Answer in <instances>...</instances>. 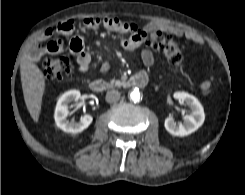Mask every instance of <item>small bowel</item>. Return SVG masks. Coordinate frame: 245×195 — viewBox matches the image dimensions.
I'll return each instance as SVG.
<instances>
[{
	"mask_svg": "<svg viewBox=\"0 0 245 195\" xmlns=\"http://www.w3.org/2000/svg\"><path fill=\"white\" fill-rule=\"evenodd\" d=\"M84 27L91 31L105 29L119 35L121 37V44L123 47L130 51H136L141 48L145 42L156 39L157 34L161 31L185 37L187 40L198 45H203L205 43L204 38L196 31L158 22H150L144 27L138 28L135 24L116 17H102L88 18L84 20ZM73 31L74 25L71 21L61 22L57 26V32L61 35H70ZM52 34V29H46L39 39L32 44L30 48V57L33 60L40 59L46 53L57 54L62 51L64 42L61 39H53L45 44V41L49 40L52 37ZM69 49L77 57L80 72L88 74L90 64L96 55L85 50L82 38L77 35L73 36L70 40ZM140 54L147 67H152L156 64V56L150 49L144 47L141 49ZM108 70V62L101 59V71L106 73ZM211 83V80L202 83L201 90L203 92H208L211 88Z\"/></svg>",
	"mask_w": 245,
	"mask_h": 195,
	"instance_id": "obj_1",
	"label": "small bowel"
}]
</instances>
